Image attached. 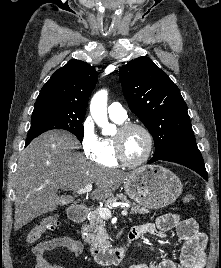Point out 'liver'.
Segmentation results:
<instances>
[{
    "label": "liver",
    "instance_id": "obj_1",
    "mask_svg": "<svg viewBox=\"0 0 221 268\" xmlns=\"http://www.w3.org/2000/svg\"><path fill=\"white\" fill-rule=\"evenodd\" d=\"M77 145L70 133L49 131L35 138L21 153L15 177V230L56 210L61 203L59 189L77 191L95 183L92 197L102 200L134 175V171L123 172L88 162L73 151Z\"/></svg>",
    "mask_w": 221,
    "mask_h": 268
}]
</instances>
